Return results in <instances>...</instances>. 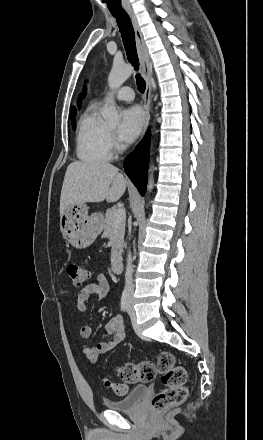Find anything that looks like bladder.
Here are the masks:
<instances>
[{
	"label": "bladder",
	"instance_id": "bladder-1",
	"mask_svg": "<svg viewBox=\"0 0 263 440\" xmlns=\"http://www.w3.org/2000/svg\"><path fill=\"white\" fill-rule=\"evenodd\" d=\"M147 391L148 387L146 385L135 386L123 398L105 399L104 406L113 411H134L145 397Z\"/></svg>",
	"mask_w": 263,
	"mask_h": 440
}]
</instances>
